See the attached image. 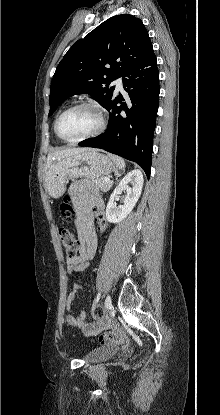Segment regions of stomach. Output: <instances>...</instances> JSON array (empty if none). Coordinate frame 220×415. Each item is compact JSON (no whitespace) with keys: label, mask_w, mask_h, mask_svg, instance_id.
Masks as SVG:
<instances>
[{"label":"stomach","mask_w":220,"mask_h":415,"mask_svg":"<svg viewBox=\"0 0 220 415\" xmlns=\"http://www.w3.org/2000/svg\"><path fill=\"white\" fill-rule=\"evenodd\" d=\"M113 171H116V167L109 157L96 150H87L52 164L46 172V187L51 197L58 198L66 191L69 179H96Z\"/></svg>","instance_id":"stomach-1"}]
</instances>
